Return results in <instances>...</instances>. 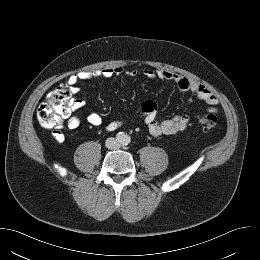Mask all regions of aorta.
Listing matches in <instances>:
<instances>
[{
    "mask_svg": "<svg viewBox=\"0 0 260 260\" xmlns=\"http://www.w3.org/2000/svg\"><path fill=\"white\" fill-rule=\"evenodd\" d=\"M119 141L121 142V144H126V143H128V141H129L128 135H126V134H120V135H119Z\"/></svg>",
    "mask_w": 260,
    "mask_h": 260,
    "instance_id": "1",
    "label": "aorta"
}]
</instances>
